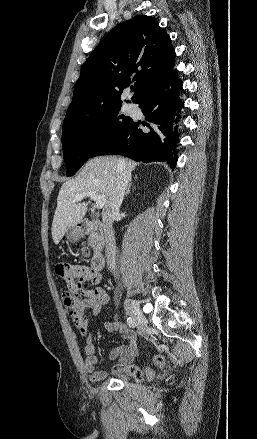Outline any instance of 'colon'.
I'll return each instance as SVG.
<instances>
[{"instance_id": "colon-1", "label": "colon", "mask_w": 257, "mask_h": 439, "mask_svg": "<svg viewBox=\"0 0 257 439\" xmlns=\"http://www.w3.org/2000/svg\"><path fill=\"white\" fill-rule=\"evenodd\" d=\"M84 254L88 253V249L84 247L82 249ZM82 293L79 291H65L62 294L63 304L66 307L67 311L72 315L76 313L79 309V306L82 302ZM162 358L155 357L154 363L156 365H161ZM117 374L123 378H130L136 381H143L145 379H149L152 377V371L150 369L142 370L133 364H129L122 368Z\"/></svg>"}]
</instances>
